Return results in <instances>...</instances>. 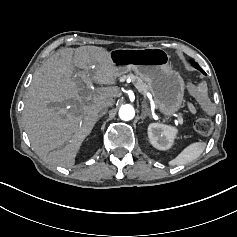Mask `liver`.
<instances>
[{
  "label": "liver",
  "instance_id": "liver-1",
  "mask_svg": "<svg viewBox=\"0 0 237 237\" xmlns=\"http://www.w3.org/2000/svg\"><path fill=\"white\" fill-rule=\"evenodd\" d=\"M74 65L84 71L76 72ZM86 75L98 84H115L117 75L106 49H61L33 77L22 117L33 150L46 163L73 166L103 109L101 102L120 96L117 86H109L98 88L93 97H80ZM87 101L89 105L84 104Z\"/></svg>",
  "mask_w": 237,
  "mask_h": 237
}]
</instances>
